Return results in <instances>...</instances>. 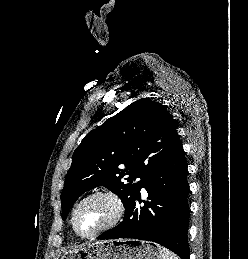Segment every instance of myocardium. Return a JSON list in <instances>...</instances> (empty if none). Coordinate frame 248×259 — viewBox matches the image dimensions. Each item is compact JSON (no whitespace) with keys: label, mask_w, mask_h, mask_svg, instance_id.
<instances>
[{"label":"myocardium","mask_w":248,"mask_h":259,"mask_svg":"<svg viewBox=\"0 0 248 259\" xmlns=\"http://www.w3.org/2000/svg\"><path fill=\"white\" fill-rule=\"evenodd\" d=\"M96 197H106L108 199H110L116 208V212L114 217L112 218V220L107 223L106 225H104L102 228H100L99 230H97L96 232L92 233V234H83L81 233L76 225V215L77 212L79 210V208L88 200L96 198ZM125 214V204L122 200V198L114 191L109 190V189H102V190H96L88 195H86L85 197H83L75 206L73 212H72V217H71V223H72V227L73 230L75 231V233L85 239H92L95 238L99 235H101L102 233L112 229L113 227H115L123 218Z\"/></svg>","instance_id":"f54148a6"}]
</instances>
